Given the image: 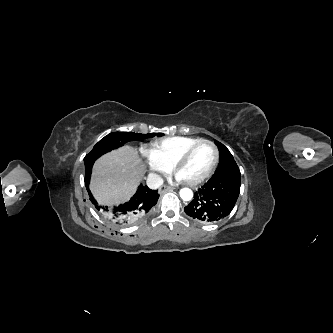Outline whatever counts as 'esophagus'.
<instances>
[{
	"label": "esophagus",
	"mask_w": 333,
	"mask_h": 333,
	"mask_svg": "<svg viewBox=\"0 0 333 333\" xmlns=\"http://www.w3.org/2000/svg\"><path fill=\"white\" fill-rule=\"evenodd\" d=\"M175 189L174 187H171V186H163L161 189H160V193H164V192H167V191H170V190H173Z\"/></svg>",
	"instance_id": "esophagus-1"
}]
</instances>
